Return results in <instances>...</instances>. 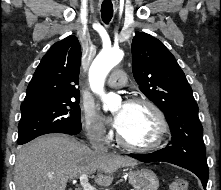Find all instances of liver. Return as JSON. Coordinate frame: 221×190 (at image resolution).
I'll list each match as a JSON object with an SVG mask.
<instances>
[{
    "instance_id": "liver-1",
    "label": "liver",
    "mask_w": 221,
    "mask_h": 190,
    "mask_svg": "<svg viewBox=\"0 0 221 190\" xmlns=\"http://www.w3.org/2000/svg\"><path fill=\"white\" fill-rule=\"evenodd\" d=\"M137 163L119 154L96 153L71 137L45 135L20 147L14 180L16 190H65L70 179L98 171L95 183L109 186L113 172Z\"/></svg>"
}]
</instances>
